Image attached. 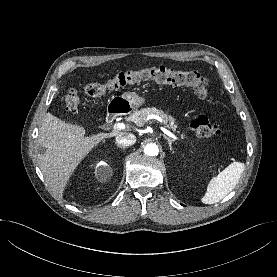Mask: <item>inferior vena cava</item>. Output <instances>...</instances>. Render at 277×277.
I'll use <instances>...</instances> for the list:
<instances>
[{
	"instance_id": "obj_1",
	"label": "inferior vena cava",
	"mask_w": 277,
	"mask_h": 277,
	"mask_svg": "<svg viewBox=\"0 0 277 277\" xmlns=\"http://www.w3.org/2000/svg\"><path fill=\"white\" fill-rule=\"evenodd\" d=\"M116 142L122 146H130L136 142V137L133 134H126L116 137Z\"/></svg>"
}]
</instances>
